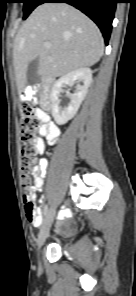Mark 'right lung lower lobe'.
<instances>
[{"mask_svg":"<svg viewBox=\"0 0 136 296\" xmlns=\"http://www.w3.org/2000/svg\"><path fill=\"white\" fill-rule=\"evenodd\" d=\"M42 3H68L76 7L98 25L108 44L118 0H43Z\"/></svg>","mask_w":136,"mask_h":296,"instance_id":"98d812e1","label":"right lung lower lobe"}]
</instances>
